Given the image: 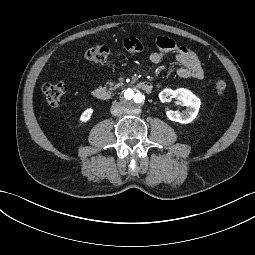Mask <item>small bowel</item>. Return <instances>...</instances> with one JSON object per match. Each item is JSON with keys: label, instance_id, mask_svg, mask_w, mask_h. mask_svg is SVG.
<instances>
[{"label": "small bowel", "instance_id": "1", "mask_svg": "<svg viewBox=\"0 0 255 255\" xmlns=\"http://www.w3.org/2000/svg\"><path fill=\"white\" fill-rule=\"evenodd\" d=\"M157 50L150 54V61L154 64L162 62L166 54L174 56L179 63L177 74L181 78L202 79L204 72L196 54L185 46L178 45L168 37H158Z\"/></svg>", "mask_w": 255, "mask_h": 255}]
</instances>
